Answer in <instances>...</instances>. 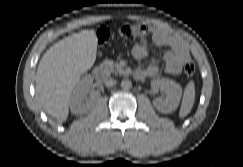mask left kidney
Segmentation results:
<instances>
[{
    "mask_svg": "<svg viewBox=\"0 0 243 167\" xmlns=\"http://www.w3.org/2000/svg\"><path fill=\"white\" fill-rule=\"evenodd\" d=\"M153 89H160L166 94V99L157 98L153 101L155 108L162 113H171L179 105L182 88L175 81L170 79H157L151 82Z\"/></svg>",
    "mask_w": 243,
    "mask_h": 167,
    "instance_id": "5707ae66",
    "label": "left kidney"
}]
</instances>
